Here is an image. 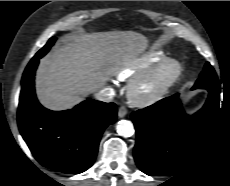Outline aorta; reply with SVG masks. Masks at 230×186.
<instances>
[{
  "instance_id": "1",
  "label": "aorta",
  "mask_w": 230,
  "mask_h": 186,
  "mask_svg": "<svg viewBox=\"0 0 230 186\" xmlns=\"http://www.w3.org/2000/svg\"><path fill=\"white\" fill-rule=\"evenodd\" d=\"M117 133L123 137H131L134 134V126L133 123L129 120H121L118 122Z\"/></svg>"
}]
</instances>
